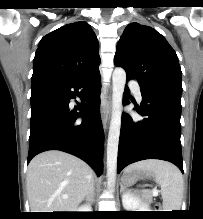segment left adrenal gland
<instances>
[{"mask_svg":"<svg viewBox=\"0 0 203 219\" xmlns=\"http://www.w3.org/2000/svg\"><path fill=\"white\" fill-rule=\"evenodd\" d=\"M121 188H120V192H123V190L126 189V187L123 185V183L120 184Z\"/></svg>","mask_w":203,"mask_h":219,"instance_id":"1","label":"left adrenal gland"}]
</instances>
